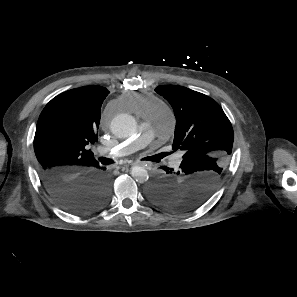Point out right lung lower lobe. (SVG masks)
<instances>
[{
  "mask_svg": "<svg viewBox=\"0 0 297 297\" xmlns=\"http://www.w3.org/2000/svg\"><path fill=\"white\" fill-rule=\"evenodd\" d=\"M105 167L97 166L77 174L40 170L48 194L71 213H90L102 207L109 196L110 178Z\"/></svg>",
  "mask_w": 297,
  "mask_h": 297,
  "instance_id": "98d812e1",
  "label": "right lung lower lobe"
}]
</instances>
